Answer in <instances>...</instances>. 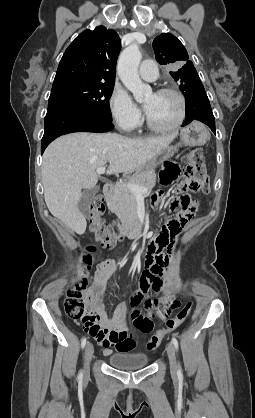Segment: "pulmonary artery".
Segmentation results:
<instances>
[{
	"label": "pulmonary artery",
	"instance_id": "pulmonary-artery-1",
	"mask_svg": "<svg viewBox=\"0 0 255 418\" xmlns=\"http://www.w3.org/2000/svg\"><path fill=\"white\" fill-rule=\"evenodd\" d=\"M140 76L147 81H154L158 76V69L154 61L144 60L139 68Z\"/></svg>",
	"mask_w": 255,
	"mask_h": 418
}]
</instances>
